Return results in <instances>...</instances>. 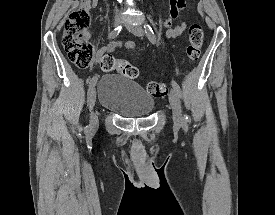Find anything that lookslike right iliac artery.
Segmentation results:
<instances>
[{
    "instance_id": "obj_1",
    "label": "right iliac artery",
    "mask_w": 275,
    "mask_h": 215,
    "mask_svg": "<svg viewBox=\"0 0 275 215\" xmlns=\"http://www.w3.org/2000/svg\"><path fill=\"white\" fill-rule=\"evenodd\" d=\"M121 29H122V26L120 25V26H118V27H116L110 34H109V37L110 38H115V37H117L118 35H119V33L121 32ZM96 82H97V76H94L91 80H90V82H89V91H90V89L96 84Z\"/></svg>"
}]
</instances>
